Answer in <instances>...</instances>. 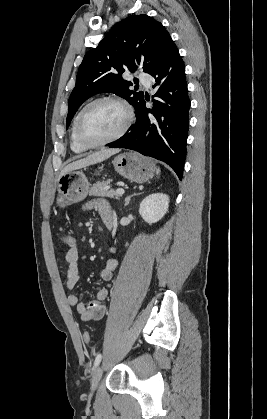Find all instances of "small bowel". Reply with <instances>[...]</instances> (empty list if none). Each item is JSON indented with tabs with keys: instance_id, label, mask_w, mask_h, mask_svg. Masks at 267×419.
Listing matches in <instances>:
<instances>
[{
	"instance_id": "small-bowel-1",
	"label": "small bowel",
	"mask_w": 267,
	"mask_h": 419,
	"mask_svg": "<svg viewBox=\"0 0 267 419\" xmlns=\"http://www.w3.org/2000/svg\"><path fill=\"white\" fill-rule=\"evenodd\" d=\"M86 209H96L104 223L108 219L113 220L112 209L105 202H90L87 204ZM111 252H114V248H111ZM78 259L79 252L75 244L74 246L69 247L65 254L66 285L69 290H75L80 280L78 271ZM116 267L117 260L115 258H110L107 261L105 268L101 271L100 277L105 284L98 289L97 298L95 300L86 304L81 301L77 294H71L68 296V304L75 308L82 321H98L104 317L106 313V306L104 305L103 301L109 296L110 286Z\"/></svg>"
}]
</instances>
